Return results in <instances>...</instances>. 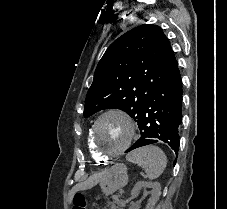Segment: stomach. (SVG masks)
<instances>
[{
	"mask_svg": "<svg viewBox=\"0 0 227 209\" xmlns=\"http://www.w3.org/2000/svg\"><path fill=\"white\" fill-rule=\"evenodd\" d=\"M128 183L127 168L124 164H116L103 172L100 186L105 195H111Z\"/></svg>",
	"mask_w": 227,
	"mask_h": 209,
	"instance_id": "1",
	"label": "stomach"
}]
</instances>
